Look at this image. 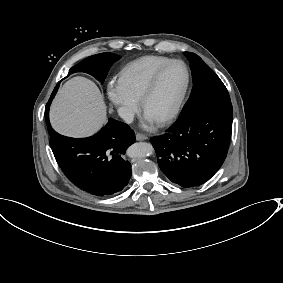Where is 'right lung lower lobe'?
Returning <instances> with one entry per match:
<instances>
[{"label": "right lung lower lobe", "mask_w": 283, "mask_h": 283, "mask_svg": "<svg viewBox=\"0 0 283 283\" xmlns=\"http://www.w3.org/2000/svg\"><path fill=\"white\" fill-rule=\"evenodd\" d=\"M59 84L45 107L50 146L58 165L73 184L93 195L107 196L121 191L132 174L131 164L123 157L135 142L133 130L110 118L89 138L75 139L58 134L50 125L49 108Z\"/></svg>", "instance_id": "98d812e1"}]
</instances>
